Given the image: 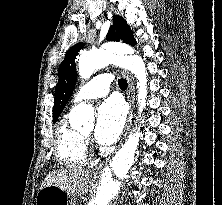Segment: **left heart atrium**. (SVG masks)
<instances>
[{"instance_id": "1", "label": "left heart atrium", "mask_w": 222, "mask_h": 205, "mask_svg": "<svg viewBox=\"0 0 222 205\" xmlns=\"http://www.w3.org/2000/svg\"><path fill=\"white\" fill-rule=\"evenodd\" d=\"M126 110L121 100L109 98L98 108L95 138L102 145L117 140L125 124Z\"/></svg>"}]
</instances>
